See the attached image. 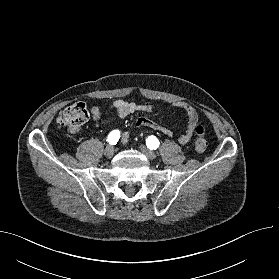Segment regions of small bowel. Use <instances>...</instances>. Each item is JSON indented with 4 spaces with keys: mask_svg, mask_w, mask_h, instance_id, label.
Listing matches in <instances>:
<instances>
[{
    "mask_svg": "<svg viewBox=\"0 0 279 279\" xmlns=\"http://www.w3.org/2000/svg\"><path fill=\"white\" fill-rule=\"evenodd\" d=\"M172 106L182 110L186 115L187 126L183 134H181L178 137V141L183 145L188 144L192 140L193 135L195 133V129L200 122L198 112L195 109V107H193L192 105L184 101L173 102ZM110 109L115 112L118 118H125L133 114L134 112L152 113L155 110V106L151 102L135 103V102L119 99V100H115L110 105ZM90 113L96 126H101L109 122V120L107 119H102L101 110L96 106L91 108ZM135 127L137 128L147 127L159 133L167 135L169 137L173 136L172 131L168 129L166 126L159 124L155 121H152L146 117L138 118L135 122ZM128 139H129V134L125 133L122 138L123 142L126 143Z\"/></svg>",
    "mask_w": 279,
    "mask_h": 279,
    "instance_id": "small-bowel-1",
    "label": "small bowel"
}]
</instances>
